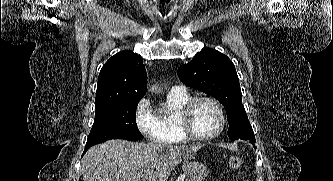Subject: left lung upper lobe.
<instances>
[{
    "instance_id": "left-lung-upper-lobe-1",
    "label": "left lung upper lobe",
    "mask_w": 333,
    "mask_h": 181,
    "mask_svg": "<svg viewBox=\"0 0 333 181\" xmlns=\"http://www.w3.org/2000/svg\"><path fill=\"white\" fill-rule=\"evenodd\" d=\"M179 79L222 103L227 111L231 140L241 137L255 141L252 126L242 104L239 79L232 61L214 49H204L178 69Z\"/></svg>"
}]
</instances>
